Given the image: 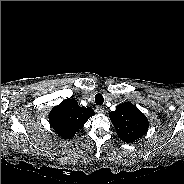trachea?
Returning a JSON list of instances; mask_svg holds the SVG:
<instances>
[{
	"label": "trachea",
	"mask_w": 184,
	"mask_h": 184,
	"mask_svg": "<svg viewBox=\"0 0 184 184\" xmlns=\"http://www.w3.org/2000/svg\"><path fill=\"white\" fill-rule=\"evenodd\" d=\"M103 102H104V98H103L102 94H99V93L96 94L95 95V103H96V105H102Z\"/></svg>",
	"instance_id": "1"
}]
</instances>
